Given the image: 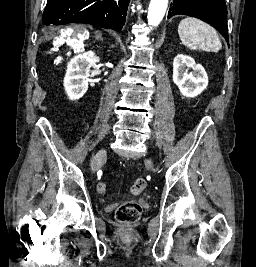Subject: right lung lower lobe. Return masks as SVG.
Listing matches in <instances>:
<instances>
[{
    "instance_id": "1",
    "label": "right lung lower lobe",
    "mask_w": 256,
    "mask_h": 267,
    "mask_svg": "<svg viewBox=\"0 0 256 267\" xmlns=\"http://www.w3.org/2000/svg\"><path fill=\"white\" fill-rule=\"evenodd\" d=\"M129 0H48L42 23H86L120 32Z\"/></svg>"
}]
</instances>
